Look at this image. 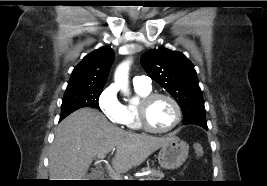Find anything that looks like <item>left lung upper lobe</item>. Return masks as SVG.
I'll return each instance as SVG.
<instances>
[{
  "label": "left lung upper lobe",
  "mask_w": 267,
  "mask_h": 186,
  "mask_svg": "<svg viewBox=\"0 0 267 186\" xmlns=\"http://www.w3.org/2000/svg\"><path fill=\"white\" fill-rule=\"evenodd\" d=\"M141 61L148 75L179 103L183 124L207 127L202 92L191 61L181 52L165 48L148 50Z\"/></svg>",
  "instance_id": "left-lung-upper-lobe-1"
}]
</instances>
